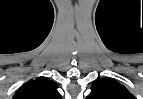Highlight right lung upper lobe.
I'll return each mask as SVG.
<instances>
[{
  "mask_svg": "<svg viewBox=\"0 0 143 99\" xmlns=\"http://www.w3.org/2000/svg\"><path fill=\"white\" fill-rule=\"evenodd\" d=\"M13 99H62L57 91V84L41 76L29 80L14 94Z\"/></svg>",
  "mask_w": 143,
  "mask_h": 99,
  "instance_id": "1",
  "label": "right lung upper lobe"
}]
</instances>
